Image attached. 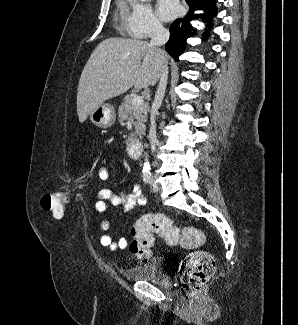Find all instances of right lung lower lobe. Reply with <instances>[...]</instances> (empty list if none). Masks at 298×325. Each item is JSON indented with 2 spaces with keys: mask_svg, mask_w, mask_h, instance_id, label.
Segmentation results:
<instances>
[{
  "mask_svg": "<svg viewBox=\"0 0 298 325\" xmlns=\"http://www.w3.org/2000/svg\"><path fill=\"white\" fill-rule=\"evenodd\" d=\"M216 0H186L189 5V12L184 19H176L170 27V39L165 44L166 51L176 61H179V55L185 49L186 39L196 34V29L193 28L191 21L201 19L204 22H210L216 14ZM195 10H204L205 13L194 14Z\"/></svg>",
  "mask_w": 298,
  "mask_h": 325,
  "instance_id": "right-lung-lower-lobe-1",
  "label": "right lung lower lobe"
}]
</instances>
